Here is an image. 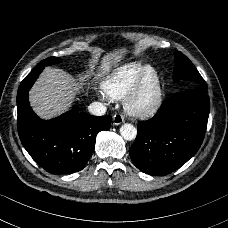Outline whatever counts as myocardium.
Masks as SVG:
<instances>
[{
	"instance_id": "myocardium-1",
	"label": "myocardium",
	"mask_w": 228,
	"mask_h": 228,
	"mask_svg": "<svg viewBox=\"0 0 228 228\" xmlns=\"http://www.w3.org/2000/svg\"><path fill=\"white\" fill-rule=\"evenodd\" d=\"M149 83H152L153 96L151 99H146L145 90ZM163 100L164 91L161 74L155 67H148L127 95L125 107L134 116L148 118L161 109Z\"/></svg>"
}]
</instances>
